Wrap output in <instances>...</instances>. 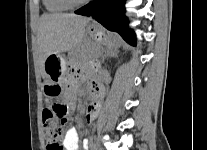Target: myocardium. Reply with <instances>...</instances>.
Returning <instances> with one entry per match:
<instances>
[{"instance_id": "f54148a6", "label": "myocardium", "mask_w": 207, "mask_h": 150, "mask_svg": "<svg viewBox=\"0 0 207 150\" xmlns=\"http://www.w3.org/2000/svg\"><path fill=\"white\" fill-rule=\"evenodd\" d=\"M66 5L69 7L75 8V7H80L82 5H85L88 3L90 0H62Z\"/></svg>"}]
</instances>
